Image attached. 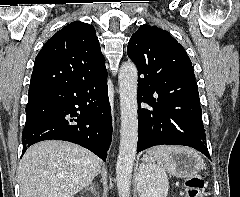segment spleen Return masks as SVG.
Returning a JSON list of instances; mask_svg holds the SVG:
<instances>
[{
  "label": "spleen",
  "instance_id": "1",
  "mask_svg": "<svg viewBox=\"0 0 240 197\" xmlns=\"http://www.w3.org/2000/svg\"><path fill=\"white\" fill-rule=\"evenodd\" d=\"M181 151H184V148L176 146H156L148 150L147 153L155 157L157 164L154 162L140 167L139 175L143 179L141 197L167 196L169 182L163 163L170 161L172 154Z\"/></svg>",
  "mask_w": 240,
  "mask_h": 197
}]
</instances>
